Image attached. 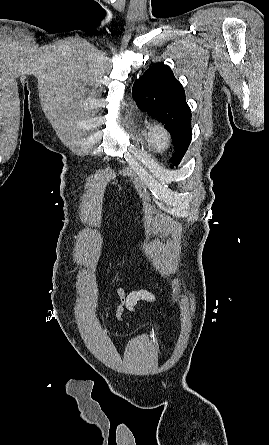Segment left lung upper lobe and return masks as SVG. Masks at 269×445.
<instances>
[{"instance_id":"5c2ea615","label":"left lung upper lobe","mask_w":269,"mask_h":445,"mask_svg":"<svg viewBox=\"0 0 269 445\" xmlns=\"http://www.w3.org/2000/svg\"><path fill=\"white\" fill-rule=\"evenodd\" d=\"M132 94L138 107L170 132L175 148L170 162L177 166L192 139L191 110L182 84L169 66L155 64L135 81Z\"/></svg>"}]
</instances>
